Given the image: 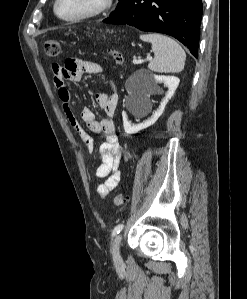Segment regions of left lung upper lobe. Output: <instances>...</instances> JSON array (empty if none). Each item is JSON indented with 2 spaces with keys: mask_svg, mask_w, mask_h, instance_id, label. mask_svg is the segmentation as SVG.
<instances>
[{
  "mask_svg": "<svg viewBox=\"0 0 247 299\" xmlns=\"http://www.w3.org/2000/svg\"><path fill=\"white\" fill-rule=\"evenodd\" d=\"M128 1H129V0H119V3H118V5H117L116 10L113 11V12L110 14V16L113 15V14H115L117 11H119V10L122 9L123 7H125V6L127 5Z\"/></svg>",
  "mask_w": 247,
  "mask_h": 299,
  "instance_id": "1",
  "label": "left lung upper lobe"
}]
</instances>
